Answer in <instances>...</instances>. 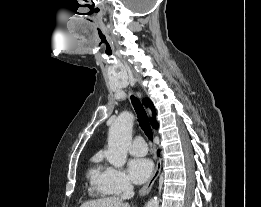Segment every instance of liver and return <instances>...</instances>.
<instances>
[{
    "instance_id": "liver-1",
    "label": "liver",
    "mask_w": 261,
    "mask_h": 207,
    "mask_svg": "<svg viewBox=\"0 0 261 207\" xmlns=\"http://www.w3.org/2000/svg\"><path fill=\"white\" fill-rule=\"evenodd\" d=\"M80 207H130V205L120 197L111 196L83 203Z\"/></svg>"
}]
</instances>
